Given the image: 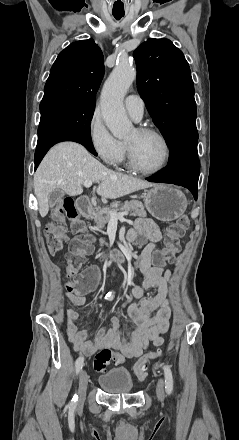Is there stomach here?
Returning <instances> with one entry per match:
<instances>
[{
  "mask_svg": "<svg viewBox=\"0 0 239 440\" xmlns=\"http://www.w3.org/2000/svg\"><path fill=\"white\" fill-rule=\"evenodd\" d=\"M144 204L149 214L161 222L177 220L188 206L186 196L175 186H154L147 192Z\"/></svg>",
  "mask_w": 239,
  "mask_h": 440,
  "instance_id": "1",
  "label": "stomach"
}]
</instances>
